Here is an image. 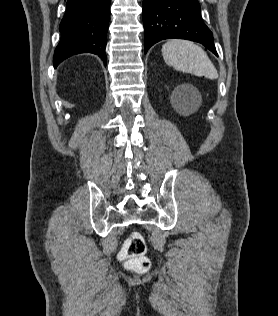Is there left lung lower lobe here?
Instances as JSON below:
<instances>
[{"label":"left lung lower lobe","instance_id":"1","mask_svg":"<svg viewBox=\"0 0 278 316\" xmlns=\"http://www.w3.org/2000/svg\"><path fill=\"white\" fill-rule=\"evenodd\" d=\"M143 23L145 53L158 41L186 39L203 44L218 56L197 0H143Z\"/></svg>","mask_w":278,"mask_h":316}]
</instances>
